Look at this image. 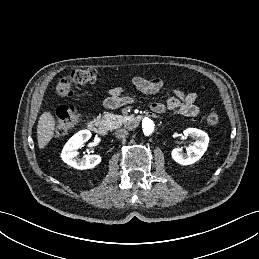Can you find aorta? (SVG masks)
<instances>
[{
    "instance_id": "obj_1",
    "label": "aorta",
    "mask_w": 259,
    "mask_h": 259,
    "mask_svg": "<svg viewBox=\"0 0 259 259\" xmlns=\"http://www.w3.org/2000/svg\"><path fill=\"white\" fill-rule=\"evenodd\" d=\"M141 126H142L143 133L147 136L151 135L154 131V128H155V124H154L153 120L148 118V117H145L142 120Z\"/></svg>"
}]
</instances>
